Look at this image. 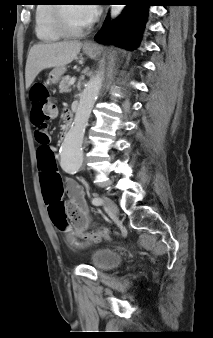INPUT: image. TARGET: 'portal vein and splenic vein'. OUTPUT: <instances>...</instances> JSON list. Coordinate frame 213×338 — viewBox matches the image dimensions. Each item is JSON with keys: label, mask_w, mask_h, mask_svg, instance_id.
Here are the masks:
<instances>
[{"label": "portal vein and splenic vein", "mask_w": 213, "mask_h": 338, "mask_svg": "<svg viewBox=\"0 0 213 338\" xmlns=\"http://www.w3.org/2000/svg\"><path fill=\"white\" fill-rule=\"evenodd\" d=\"M75 81H76V78L72 77L69 81V85H74Z\"/></svg>", "instance_id": "1"}]
</instances>
